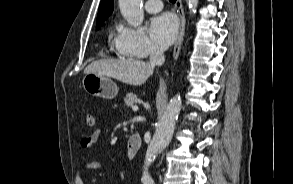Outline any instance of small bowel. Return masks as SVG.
I'll return each mask as SVG.
<instances>
[{
    "mask_svg": "<svg viewBox=\"0 0 293 184\" xmlns=\"http://www.w3.org/2000/svg\"><path fill=\"white\" fill-rule=\"evenodd\" d=\"M100 129H95L90 135L84 137L81 140V147L84 150H91L100 137ZM100 168V163L93 159L90 155L87 156V159L83 164L77 165L75 169V184H86L83 173L86 171H94ZM121 178L124 179V173H121Z\"/></svg>",
    "mask_w": 293,
    "mask_h": 184,
    "instance_id": "obj_1",
    "label": "small bowel"
}]
</instances>
